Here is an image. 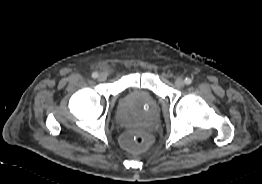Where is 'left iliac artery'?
Listing matches in <instances>:
<instances>
[{"instance_id":"1","label":"left iliac artery","mask_w":262,"mask_h":184,"mask_svg":"<svg viewBox=\"0 0 262 184\" xmlns=\"http://www.w3.org/2000/svg\"><path fill=\"white\" fill-rule=\"evenodd\" d=\"M185 83H186L187 85H190V84L192 83L191 78H186V79H185Z\"/></svg>"}]
</instances>
